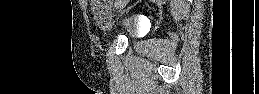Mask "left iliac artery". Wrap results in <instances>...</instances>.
Segmentation results:
<instances>
[{"mask_svg": "<svg viewBox=\"0 0 259 94\" xmlns=\"http://www.w3.org/2000/svg\"><path fill=\"white\" fill-rule=\"evenodd\" d=\"M122 4V0H117L115 2V7H119Z\"/></svg>", "mask_w": 259, "mask_h": 94, "instance_id": "44dca946", "label": "left iliac artery"}]
</instances>
